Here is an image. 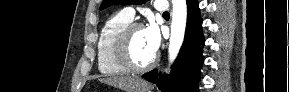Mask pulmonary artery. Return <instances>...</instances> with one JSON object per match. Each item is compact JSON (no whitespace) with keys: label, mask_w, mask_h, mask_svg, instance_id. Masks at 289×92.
Listing matches in <instances>:
<instances>
[{"label":"pulmonary artery","mask_w":289,"mask_h":92,"mask_svg":"<svg viewBox=\"0 0 289 92\" xmlns=\"http://www.w3.org/2000/svg\"><path fill=\"white\" fill-rule=\"evenodd\" d=\"M154 7L157 11L162 12V13L168 10V6L165 1H155ZM122 12L124 13L125 16H127L131 20L134 18L135 11L133 10V8L127 7Z\"/></svg>","instance_id":"pulmonary-artery-1"}]
</instances>
